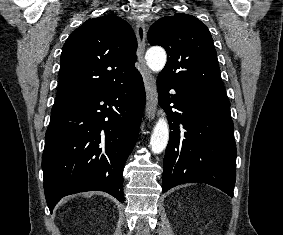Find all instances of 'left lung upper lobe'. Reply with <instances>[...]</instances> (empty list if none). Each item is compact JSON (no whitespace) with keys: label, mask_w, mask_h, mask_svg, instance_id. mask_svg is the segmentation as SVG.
<instances>
[{"label":"left lung upper lobe","mask_w":283,"mask_h":235,"mask_svg":"<svg viewBox=\"0 0 283 235\" xmlns=\"http://www.w3.org/2000/svg\"><path fill=\"white\" fill-rule=\"evenodd\" d=\"M148 41L167 52L161 76L204 94L227 97L212 36L199 19L188 14L160 18L150 27Z\"/></svg>","instance_id":"1"}]
</instances>
